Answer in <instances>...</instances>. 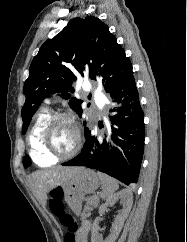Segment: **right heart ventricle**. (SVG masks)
Wrapping results in <instances>:
<instances>
[{
	"label": "right heart ventricle",
	"instance_id": "right-heart-ventricle-1",
	"mask_svg": "<svg viewBox=\"0 0 187 242\" xmlns=\"http://www.w3.org/2000/svg\"><path fill=\"white\" fill-rule=\"evenodd\" d=\"M51 117V113L48 109H43L37 116L35 123L29 134V153L32 160L41 167H47L54 165L57 159L48 157L44 154L40 138L42 130L47 123L48 119Z\"/></svg>",
	"mask_w": 187,
	"mask_h": 242
}]
</instances>
